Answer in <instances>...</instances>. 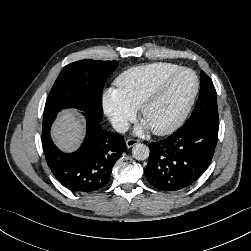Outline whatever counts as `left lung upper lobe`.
<instances>
[{
    "instance_id": "left-lung-upper-lobe-1",
    "label": "left lung upper lobe",
    "mask_w": 251,
    "mask_h": 251,
    "mask_svg": "<svg viewBox=\"0 0 251 251\" xmlns=\"http://www.w3.org/2000/svg\"><path fill=\"white\" fill-rule=\"evenodd\" d=\"M201 89L196 106L186 123L201 119L219 122L217 108V93L210 77L203 71L200 72Z\"/></svg>"
}]
</instances>
